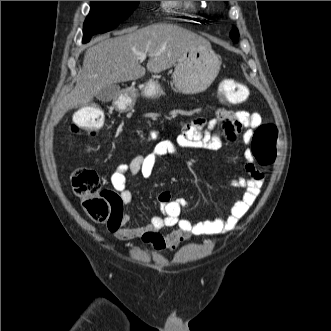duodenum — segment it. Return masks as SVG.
I'll return each mask as SVG.
<instances>
[{
	"label": "duodenum",
	"instance_id": "1",
	"mask_svg": "<svg viewBox=\"0 0 331 331\" xmlns=\"http://www.w3.org/2000/svg\"><path fill=\"white\" fill-rule=\"evenodd\" d=\"M134 92L137 93V89H134Z\"/></svg>",
	"mask_w": 331,
	"mask_h": 331
}]
</instances>
